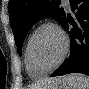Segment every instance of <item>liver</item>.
<instances>
[{
  "mask_svg": "<svg viewBox=\"0 0 89 89\" xmlns=\"http://www.w3.org/2000/svg\"><path fill=\"white\" fill-rule=\"evenodd\" d=\"M60 79L58 78H48V79H45L39 83H37L36 85H34L33 87H37V89H40V88H45L47 86H50V85H53V84H56L59 82Z\"/></svg>",
  "mask_w": 89,
  "mask_h": 89,
  "instance_id": "obj_1",
  "label": "liver"
}]
</instances>
